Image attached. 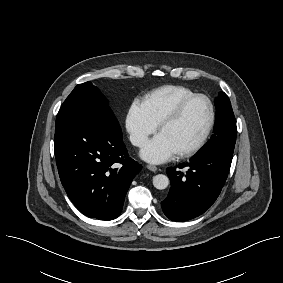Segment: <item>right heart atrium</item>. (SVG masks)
<instances>
[{
  "instance_id": "obj_1",
  "label": "right heart atrium",
  "mask_w": 283,
  "mask_h": 283,
  "mask_svg": "<svg viewBox=\"0 0 283 283\" xmlns=\"http://www.w3.org/2000/svg\"><path fill=\"white\" fill-rule=\"evenodd\" d=\"M157 128L158 124L148 115L144 104L133 100L126 115V130L131 143L141 147Z\"/></svg>"
}]
</instances>
